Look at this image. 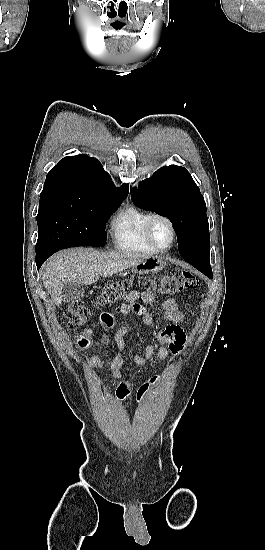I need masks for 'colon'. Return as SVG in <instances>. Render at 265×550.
<instances>
[{
	"label": "colon",
	"instance_id": "1",
	"mask_svg": "<svg viewBox=\"0 0 265 550\" xmlns=\"http://www.w3.org/2000/svg\"><path fill=\"white\" fill-rule=\"evenodd\" d=\"M148 287L156 292L172 296L183 293L188 290L197 289L200 285L199 279L190 271L184 269H174L167 275L151 279L147 283ZM132 287L130 279H120L107 285L101 293L95 298L93 304L96 306H116V312L120 311L119 303L127 297ZM67 326L71 330H77L84 326L90 318V308L83 303H73L65 311ZM111 321L109 314L101 317V322ZM154 379L144 383L137 391V400L143 402Z\"/></svg>",
	"mask_w": 265,
	"mask_h": 550
}]
</instances>
